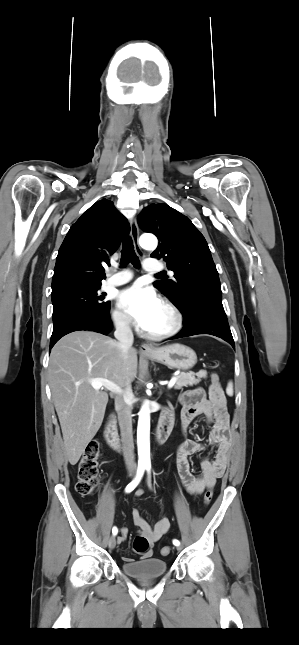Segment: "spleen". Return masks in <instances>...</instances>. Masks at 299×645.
I'll return each mask as SVG.
<instances>
[{"label": "spleen", "mask_w": 299, "mask_h": 645, "mask_svg": "<svg viewBox=\"0 0 299 645\" xmlns=\"http://www.w3.org/2000/svg\"><path fill=\"white\" fill-rule=\"evenodd\" d=\"M227 393L228 395L232 396L233 395V383L229 382L227 386Z\"/></svg>", "instance_id": "1"}]
</instances>
